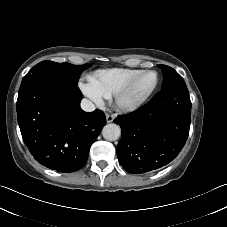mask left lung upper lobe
<instances>
[{
  "label": "left lung upper lobe",
  "mask_w": 227,
  "mask_h": 227,
  "mask_svg": "<svg viewBox=\"0 0 227 227\" xmlns=\"http://www.w3.org/2000/svg\"><path fill=\"white\" fill-rule=\"evenodd\" d=\"M158 67L163 73L162 89L169 87H185L182 77L171 67L159 64Z\"/></svg>",
  "instance_id": "obj_1"
}]
</instances>
